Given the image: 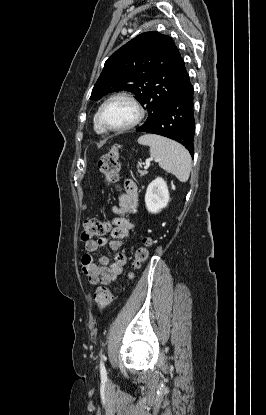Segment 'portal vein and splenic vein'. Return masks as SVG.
Returning <instances> with one entry per match:
<instances>
[{"instance_id": "portal-vein-and-splenic-vein-1", "label": "portal vein and splenic vein", "mask_w": 266, "mask_h": 415, "mask_svg": "<svg viewBox=\"0 0 266 415\" xmlns=\"http://www.w3.org/2000/svg\"><path fill=\"white\" fill-rule=\"evenodd\" d=\"M152 160V158H150L148 161H147V163H146V165L144 166V169L145 170H147L148 168H149V166H150V161Z\"/></svg>"}]
</instances>
